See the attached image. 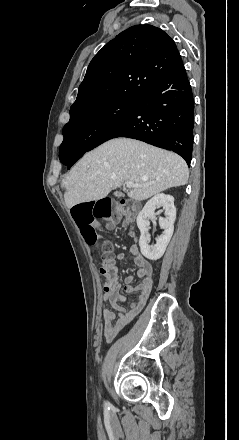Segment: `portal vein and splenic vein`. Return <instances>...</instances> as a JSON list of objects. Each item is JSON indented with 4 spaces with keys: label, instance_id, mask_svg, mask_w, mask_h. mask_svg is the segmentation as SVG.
Listing matches in <instances>:
<instances>
[{
    "label": "portal vein and splenic vein",
    "instance_id": "1",
    "mask_svg": "<svg viewBox=\"0 0 239 440\" xmlns=\"http://www.w3.org/2000/svg\"><path fill=\"white\" fill-rule=\"evenodd\" d=\"M127 188H139V184H134V182H127Z\"/></svg>",
    "mask_w": 239,
    "mask_h": 440
}]
</instances>
